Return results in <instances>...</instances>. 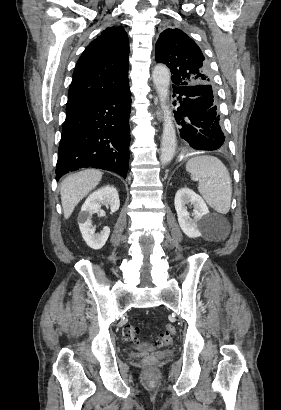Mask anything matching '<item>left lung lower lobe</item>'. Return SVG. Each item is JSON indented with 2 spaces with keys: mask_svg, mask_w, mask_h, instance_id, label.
<instances>
[{
  "mask_svg": "<svg viewBox=\"0 0 281 410\" xmlns=\"http://www.w3.org/2000/svg\"><path fill=\"white\" fill-rule=\"evenodd\" d=\"M179 107L174 111L180 136L197 150H216L225 142L211 85L173 86ZM176 105V101L174 103Z\"/></svg>",
  "mask_w": 281,
  "mask_h": 410,
  "instance_id": "left-lung-lower-lobe-1",
  "label": "left lung lower lobe"
}]
</instances>
